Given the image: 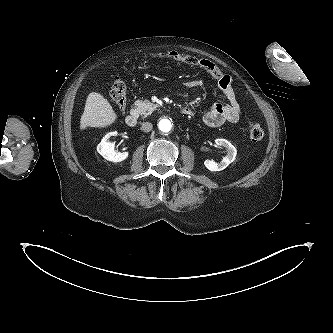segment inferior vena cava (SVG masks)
Listing matches in <instances>:
<instances>
[{"label":"inferior vena cava","mask_w":333,"mask_h":333,"mask_svg":"<svg viewBox=\"0 0 333 333\" xmlns=\"http://www.w3.org/2000/svg\"><path fill=\"white\" fill-rule=\"evenodd\" d=\"M153 128V125L152 123L150 122H145L142 124V127H141V130L144 131V132H150Z\"/></svg>","instance_id":"1"}]
</instances>
